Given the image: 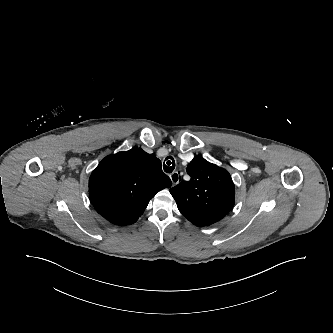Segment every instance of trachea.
<instances>
[{
	"instance_id": "trachea-1",
	"label": "trachea",
	"mask_w": 333,
	"mask_h": 333,
	"mask_svg": "<svg viewBox=\"0 0 333 333\" xmlns=\"http://www.w3.org/2000/svg\"><path fill=\"white\" fill-rule=\"evenodd\" d=\"M166 161V163H165ZM164 163H163V169L166 173H171L175 169V160L172 156L166 157Z\"/></svg>"
}]
</instances>
